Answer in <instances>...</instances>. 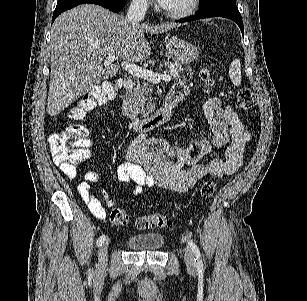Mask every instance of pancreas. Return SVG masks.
<instances>
[{
  "label": "pancreas",
  "mask_w": 307,
  "mask_h": 301,
  "mask_svg": "<svg viewBox=\"0 0 307 301\" xmlns=\"http://www.w3.org/2000/svg\"><path fill=\"white\" fill-rule=\"evenodd\" d=\"M159 68H155V70H161V68H169V70H165V72H169L172 78H187L186 74H182V72H186L187 68H183L181 64H176V62H162V64H158ZM177 72V74H174ZM193 72H191L189 78H193ZM130 96H132V106L136 112H139L141 116H149L151 112H154L156 108V100L152 94V84L149 80H139L136 82L134 86V90L130 92Z\"/></svg>",
  "instance_id": "obj_1"
}]
</instances>
